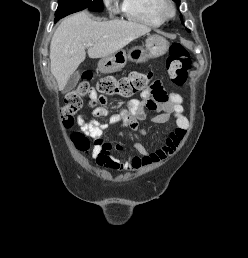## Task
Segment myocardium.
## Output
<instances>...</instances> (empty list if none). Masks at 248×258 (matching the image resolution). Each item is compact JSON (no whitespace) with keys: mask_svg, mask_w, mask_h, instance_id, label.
I'll list each match as a JSON object with an SVG mask.
<instances>
[{"mask_svg":"<svg viewBox=\"0 0 248 258\" xmlns=\"http://www.w3.org/2000/svg\"><path fill=\"white\" fill-rule=\"evenodd\" d=\"M158 10L164 19L172 18L176 13L172 0H159Z\"/></svg>","mask_w":248,"mask_h":258,"instance_id":"f54148a6","label":"myocardium"}]
</instances>
